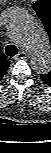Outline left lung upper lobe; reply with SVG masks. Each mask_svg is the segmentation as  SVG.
Listing matches in <instances>:
<instances>
[{
	"label": "left lung upper lobe",
	"mask_w": 51,
	"mask_h": 153,
	"mask_svg": "<svg viewBox=\"0 0 51 153\" xmlns=\"http://www.w3.org/2000/svg\"><path fill=\"white\" fill-rule=\"evenodd\" d=\"M32 7L46 28L51 41V0H38ZM40 77L47 85L51 86V71L48 74L40 75Z\"/></svg>",
	"instance_id": "left-lung-upper-lobe-1"
}]
</instances>
